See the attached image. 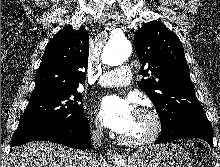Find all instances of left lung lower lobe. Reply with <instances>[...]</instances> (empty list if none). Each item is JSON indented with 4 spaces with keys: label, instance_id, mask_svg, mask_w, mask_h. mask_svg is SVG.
I'll return each instance as SVG.
<instances>
[{
    "label": "left lung lower lobe",
    "instance_id": "1",
    "mask_svg": "<svg viewBox=\"0 0 220 167\" xmlns=\"http://www.w3.org/2000/svg\"><path fill=\"white\" fill-rule=\"evenodd\" d=\"M182 138H201L213 147V132L207 117L201 116L187 120L172 131H161L155 143H166Z\"/></svg>",
    "mask_w": 220,
    "mask_h": 167
}]
</instances>
